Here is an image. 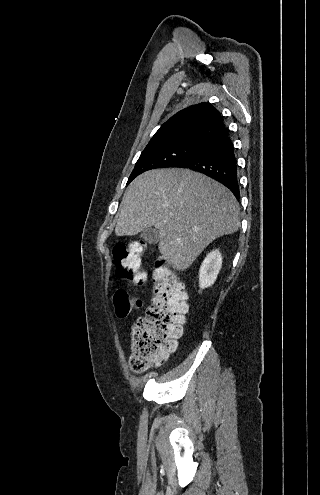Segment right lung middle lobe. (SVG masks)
Listing matches in <instances>:
<instances>
[{"instance_id": "right-lung-middle-lobe-1", "label": "right lung middle lobe", "mask_w": 320, "mask_h": 495, "mask_svg": "<svg viewBox=\"0 0 320 495\" xmlns=\"http://www.w3.org/2000/svg\"><path fill=\"white\" fill-rule=\"evenodd\" d=\"M206 140L182 139L158 145L147 146L141 153L127 184L141 173L164 167H177L188 160Z\"/></svg>"}]
</instances>
